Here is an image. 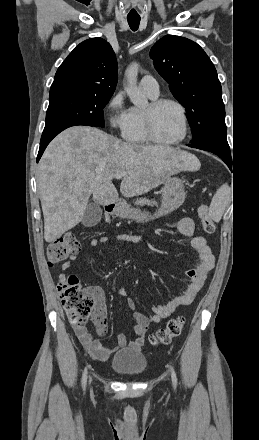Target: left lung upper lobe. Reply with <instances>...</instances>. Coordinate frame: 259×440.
Instances as JSON below:
<instances>
[{
	"instance_id": "5c2ea615",
	"label": "left lung upper lobe",
	"mask_w": 259,
	"mask_h": 440,
	"mask_svg": "<svg viewBox=\"0 0 259 440\" xmlns=\"http://www.w3.org/2000/svg\"><path fill=\"white\" fill-rule=\"evenodd\" d=\"M150 56L173 96L186 109L191 143L213 135L226 136L221 84L204 50L187 38L166 35L154 44Z\"/></svg>"
}]
</instances>
